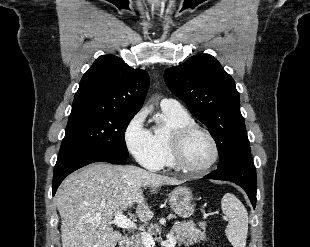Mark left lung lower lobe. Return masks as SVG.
I'll return each mask as SVG.
<instances>
[{"mask_svg":"<svg viewBox=\"0 0 310 247\" xmlns=\"http://www.w3.org/2000/svg\"><path fill=\"white\" fill-rule=\"evenodd\" d=\"M204 178L226 180L238 184L246 191L253 208H255L257 191L256 173L250 154L231 164L218 166L215 171L204 176Z\"/></svg>","mask_w":310,"mask_h":247,"instance_id":"0a47b994","label":"left lung lower lobe"}]
</instances>
